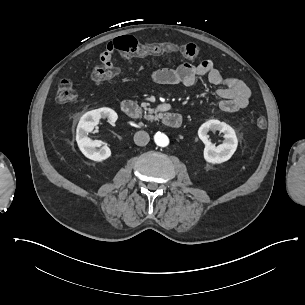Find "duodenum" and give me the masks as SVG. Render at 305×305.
I'll list each match as a JSON object with an SVG mask.
<instances>
[{
	"label": "duodenum",
	"mask_w": 305,
	"mask_h": 305,
	"mask_svg": "<svg viewBox=\"0 0 305 305\" xmlns=\"http://www.w3.org/2000/svg\"><path fill=\"white\" fill-rule=\"evenodd\" d=\"M122 112L134 119L141 118L143 116V111L137 102L131 100H125L121 104ZM162 121L165 126L169 128H179L182 123L181 116L175 112H167L164 114Z\"/></svg>",
	"instance_id": "410a0bca"
}]
</instances>
